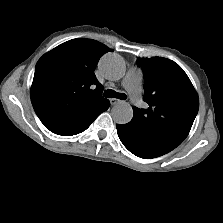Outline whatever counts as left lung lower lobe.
Listing matches in <instances>:
<instances>
[{
  "mask_svg": "<svg viewBox=\"0 0 223 223\" xmlns=\"http://www.w3.org/2000/svg\"><path fill=\"white\" fill-rule=\"evenodd\" d=\"M118 136L123 145L134 155L141 158H155L171 151L166 146L156 144L142 138L141 133L129 122L125 125H116Z\"/></svg>",
  "mask_w": 223,
  "mask_h": 223,
  "instance_id": "0a47b994",
  "label": "left lung lower lobe"
}]
</instances>
